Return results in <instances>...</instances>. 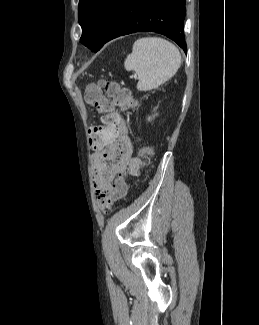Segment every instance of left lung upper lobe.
Masks as SVG:
<instances>
[{"instance_id":"1","label":"left lung upper lobe","mask_w":259,"mask_h":325,"mask_svg":"<svg viewBox=\"0 0 259 325\" xmlns=\"http://www.w3.org/2000/svg\"><path fill=\"white\" fill-rule=\"evenodd\" d=\"M122 0H79L80 42L93 52L102 46L112 19Z\"/></svg>"}]
</instances>
